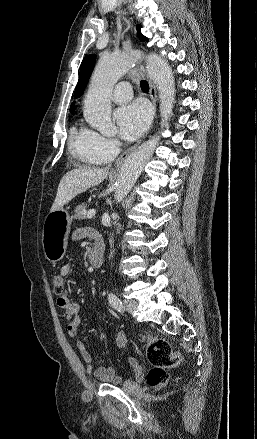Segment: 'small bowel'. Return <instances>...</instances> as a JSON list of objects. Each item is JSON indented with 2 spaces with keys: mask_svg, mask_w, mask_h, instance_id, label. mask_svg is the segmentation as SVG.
I'll return each mask as SVG.
<instances>
[{
  "mask_svg": "<svg viewBox=\"0 0 257 439\" xmlns=\"http://www.w3.org/2000/svg\"><path fill=\"white\" fill-rule=\"evenodd\" d=\"M87 235H92L95 240L97 238H100L97 234L87 230V229H79L77 230L73 238L75 240L81 239ZM72 271V267L70 264H64L60 268V275L62 277L68 276ZM58 306L65 311V316L69 321V324L67 326V334L69 337L76 340V347L78 352L80 353L82 359L85 363V369L88 373H94L96 378L100 381L107 382L113 385H119L122 383H127L128 381H125L123 377L116 374L115 369L110 365H104L95 370L94 363L92 361V358L83 343L78 338L77 330L81 323V315H80V305L77 302L72 301L69 296L64 293L63 295L59 296L57 299ZM114 345L117 349H127V339L124 332H117L114 336ZM129 366L132 370L134 381L140 382L142 381L144 374L143 369L141 365L138 363V361L134 357L128 358Z\"/></svg>",
  "mask_w": 257,
  "mask_h": 439,
  "instance_id": "small-bowel-1",
  "label": "small bowel"
}]
</instances>
